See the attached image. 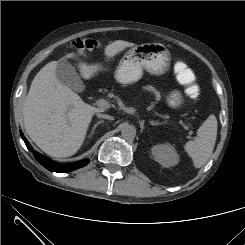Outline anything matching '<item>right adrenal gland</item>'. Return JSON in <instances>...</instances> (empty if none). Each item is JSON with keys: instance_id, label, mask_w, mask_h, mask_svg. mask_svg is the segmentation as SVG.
<instances>
[{"instance_id": "2a0ac1e0", "label": "right adrenal gland", "mask_w": 245, "mask_h": 245, "mask_svg": "<svg viewBox=\"0 0 245 245\" xmlns=\"http://www.w3.org/2000/svg\"><path fill=\"white\" fill-rule=\"evenodd\" d=\"M103 122H104L103 120H100V121H98V122L93 126L92 131H91V133H90V135H89V138H91L92 135L94 134V131H95L96 127L99 126V125H100L101 123H103Z\"/></svg>"}]
</instances>
